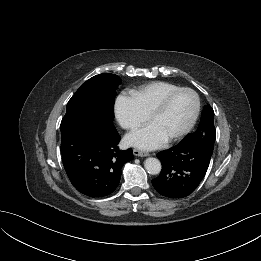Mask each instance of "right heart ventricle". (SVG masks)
<instances>
[{"label": "right heart ventricle", "instance_id": "e07e8e85", "mask_svg": "<svg viewBox=\"0 0 261 261\" xmlns=\"http://www.w3.org/2000/svg\"><path fill=\"white\" fill-rule=\"evenodd\" d=\"M180 88L179 85L171 82L155 81L134 90L132 94L142 111L149 116L167 94Z\"/></svg>", "mask_w": 261, "mask_h": 261}]
</instances>
